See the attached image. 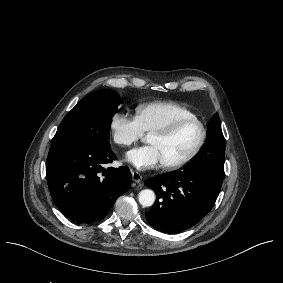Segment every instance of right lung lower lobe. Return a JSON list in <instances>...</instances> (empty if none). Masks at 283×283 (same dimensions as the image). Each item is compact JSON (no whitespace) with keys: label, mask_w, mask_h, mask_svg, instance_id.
<instances>
[{"label":"right lung lower lobe","mask_w":283,"mask_h":283,"mask_svg":"<svg viewBox=\"0 0 283 283\" xmlns=\"http://www.w3.org/2000/svg\"><path fill=\"white\" fill-rule=\"evenodd\" d=\"M113 160L116 155L111 149L97 145H51L46 161L48 187L66 217L79 223L101 220L128 191L132 180L128 167L104 168Z\"/></svg>","instance_id":"obj_1"}]
</instances>
